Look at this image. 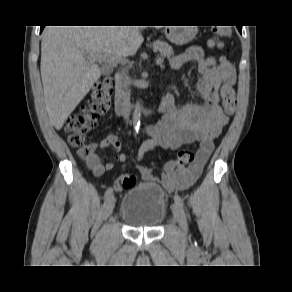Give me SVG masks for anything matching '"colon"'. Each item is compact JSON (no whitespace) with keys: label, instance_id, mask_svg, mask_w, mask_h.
<instances>
[{"label":"colon","instance_id":"colon-1","mask_svg":"<svg viewBox=\"0 0 292 292\" xmlns=\"http://www.w3.org/2000/svg\"><path fill=\"white\" fill-rule=\"evenodd\" d=\"M231 33L229 25H218L213 29V36L208 44L212 48H221L223 38ZM222 105L227 115H232L236 109L235 91L231 85H223L220 90ZM113 85L110 79H104L97 83L92 90L91 97L83 109L70 116L65 122V131L68 134V141L73 147L79 148L82 158L88 159L93 153L91 145H85L88 133L96 125L97 121L106 115L112 105ZM195 153L191 150H181L174 160L180 165H188L195 161ZM136 184L133 175L125 174L120 178V186L129 189Z\"/></svg>","mask_w":292,"mask_h":292}]
</instances>
